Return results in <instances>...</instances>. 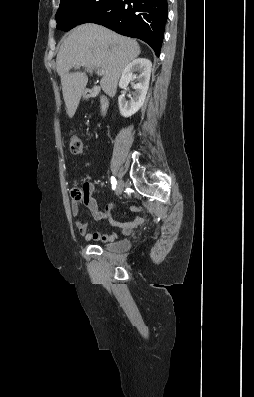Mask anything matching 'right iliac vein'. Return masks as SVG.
<instances>
[{
  "label": "right iliac vein",
  "instance_id": "obj_1",
  "mask_svg": "<svg viewBox=\"0 0 254 397\" xmlns=\"http://www.w3.org/2000/svg\"><path fill=\"white\" fill-rule=\"evenodd\" d=\"M123 189H124V182L122 180H119L116 187V194L120 195L123 192Z\"/></svg>",
  "mask_w": 254,
  "mask_h": 397
}]
</instances>
